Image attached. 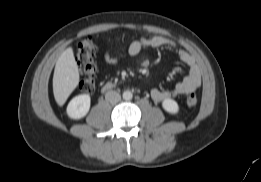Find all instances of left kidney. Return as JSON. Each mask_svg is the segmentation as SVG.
<instances>
[{
	"label": "left kidney",
	"instance_id": "5707ae66",
	"mask_svg": "<svg viewBox=\"0 0 261 182\" xmlns=\"http://www.w3.org/2000/svg\"><path fill=\"white\" fill-rule=\"evenodd\" d=\"M163 109L170 114H177L179 111V106L177 102L173 99H164L162 102Z\"/></svg>",
	"mask_w": 261,
	"mask_h": 182
}]
</instances>
